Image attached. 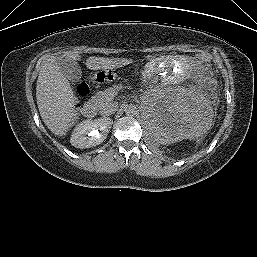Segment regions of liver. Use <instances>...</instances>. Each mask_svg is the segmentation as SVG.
I'll list each match as a JSON object with an SVG mask.
<instances>
[{
    "label": "liver",
    "instance_id": "obj_1",
    "mask_svg": "<svg viewBox=\"0 0 257 257\" xmlns=\"http://www.w3.org/2000/svg\"><path fill=\"white\" fill-rule=\"evenodd\" d=\"M70 60H80L81 55L67 51ZM126 58L88 57L86 67L90 70L115 69L128 65ZM36 99L40 116L48 129L56 136H64L78 119L75 95L70 82L57 64L56 56H49L43 63L37 79Z\"/></svg>",
    "mask_w": 257,
    "mask_h": 257
}]
</instances>
